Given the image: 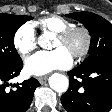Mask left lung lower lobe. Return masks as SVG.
Wrapping results in <instances>:
<instances>
[{
    "mask_svg": "<svg viewBox=\"0 0 112 112\" xmlns=\"http://www.w3.org/2000/svg\"><path fill=\"white\" fill-rule=\"evenodd\" d=\"M69 89L61 97L68 112H109L112 109V60L68 72Z\"/></svg>",
    "mask_w": 112,
    "mask_h": 112,
    "instance_id": "0a47b994",
    "label": "left lung lower lobe"
}]
</instances>
